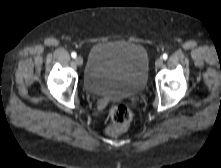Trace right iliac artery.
I'll return each instance as SVG.
<instances>
[{"label":"right iliac artery","instance_id":"right-iliac-artery-1","mask_svg":"<svg viewBox=\"0 0 221 168\" xmlns=\"http://www.w3.org/2000/svg\"><path fill=\"white\" fill-rule=\"evenodd\" d=\"M71 56H72V58H76V53H75V52H72V53H71Z\"/></svg>","mask_w":221,"mask_h":168}]
</instances>
